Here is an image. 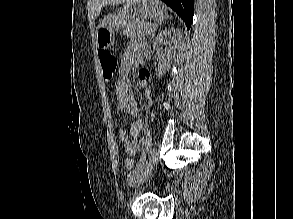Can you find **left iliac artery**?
Returning a JSON list of instances; mask_svg holds the SVG:
<instances>
[{"instance_id":"left-iliac-artery-1","label":"left iliac artery","mask_w":293,"mask_h":219,"mask_svg":"<svg viewBox=\"0 0 293 219\" xmlns=\"http://www.w3.org/2000/svg\"><path fill=\"white\" fill-rule=\"evenodd\" d=\"M151 145H152V139L150 135V130L148 129V126H146V139L144 141L143 154L139 164L140 168H142L145 165V163H147L148 160L151 159V154H152Z\"/></svg>"}]
</instances>
